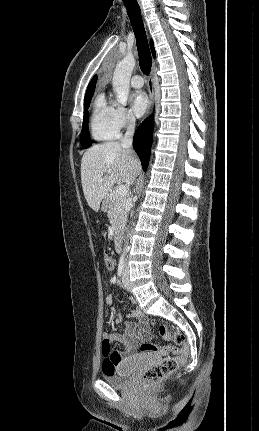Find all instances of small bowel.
<instances>
[{"mask_svg":"<svg viewBox=\"0 0 259 431\" xmlns=\"http://www.w3.org/2000/svg\"><path fill=\"white\" fill-rule=\"evenodd\" d=\"M105 303L109 306L113 305V297L107 295ZM128 317L137 319L138 323L128 322L125 332L120 336L103 335V341L106 340L111 343L114 340H118L123 346V349L120 351L111 350L109 354L104 355L103 371L106 366L114 370L124 363L134 361L138 357V347L149 337V328L143 319L141 311L133 310L128 314Z\"/></svg>","mask_w":259,"mask_h":431,"instance_id":"c3829d8e","label":"small bowel"}]
</instances>
